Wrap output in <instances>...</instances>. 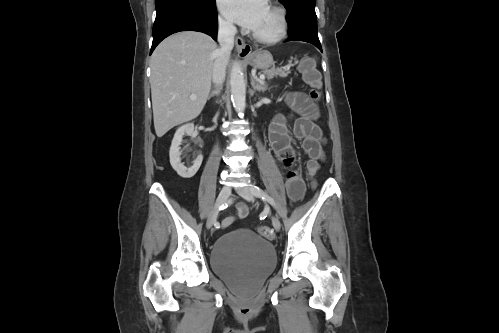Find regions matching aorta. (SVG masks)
Instances as JSON below:
<instances>
[{"mask_svg": "<svg viewBox=\"0 0 499 333\" xmlns=\"http://www.w3.org/2000/svg\"><path fill=\"white\" fill-rule=\"evenodd\" d=\"M231 100L236 112L242 116L246 107V84L242 67L236 61L230 75Z\"/></svg>", "mask_w": 499, "mask_h": 333, "instance_id": "obj_1", "label": "aorta"}]
</instances>
